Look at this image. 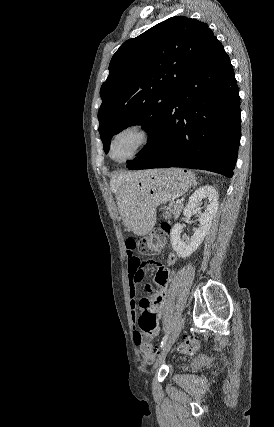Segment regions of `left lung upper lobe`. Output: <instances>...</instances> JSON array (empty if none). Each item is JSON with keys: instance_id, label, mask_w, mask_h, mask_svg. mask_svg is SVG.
Instances as JSON below:
<instances>
[{"instance_id": "5c2ea615", "label": "left lung upper lobe", "mask_w": 274, "mask_h": 427, "mask_svg": "<svg viewBox=\"0 0 274 427\" xmlns=\"http://www.w3.org/2000/svg\"><path fill=\"white\" fill-rule=\"evenodd\" d=\"M213 38L206 23L177 16L121 45L100 90L99 133L105 153L113 135L131 125H142L149 134L139 157L152 147L180 84Z\"/></svg>"}]
</instances>
